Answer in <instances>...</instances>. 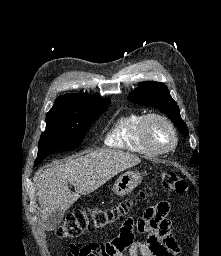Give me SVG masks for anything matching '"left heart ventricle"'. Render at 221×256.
Masks as SVG:
<instances>
[{"instance_id":"1","label":"left heart ventricle","mask_w":221,"mask_h":256,"mask_svg":"<svg viewBox=\"0 0 221 256\" xmlns=\"http://www.w3.org/2000/svg\"><path fill=\"white\" fill-rule=\"evenodd\" d=\"M149 136L153 143L160 147H168L173 140L169 127L160 120H153L148 127Z\"/></svg>"}]
</instances>
